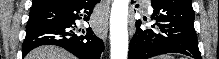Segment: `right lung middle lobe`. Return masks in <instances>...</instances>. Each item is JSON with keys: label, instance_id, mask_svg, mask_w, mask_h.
Masks as SVG:
<instances>
[{"label": "right lung middle lobe", "instance_id": "right-lung-middle-lobe-1", "mask_svg": "<svg viewBox=\"0 0 219 59\" xmlns=\"http://www.w3.org/2000/svg\"><path fill=\"white\" fill-rule=\"evenodd\" d=\"M54 20V15L52 13H38V14H29V20L27 28L45 24Z\"/></svg>", "mask_w": 219, "mask_h": 59}]
</instances>
